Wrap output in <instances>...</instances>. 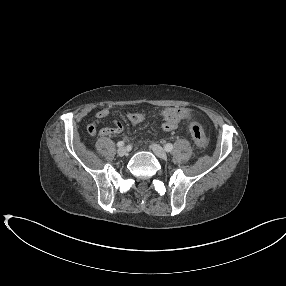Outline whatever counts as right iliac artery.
<instances>
[{"label":"right iliac artery","instance_id":"right-iliac-artery-1","mask_svg":"<svg viewBox=\"0 0 286 286\" xmlns=\"http://www.w3.org/2000/svg\"><path fill=\"white\" fill-rule=\"evenodd\" d=\"M117 146H118V147L124 146V141H119V142L117 143Z\"/></svg>","mask_w":286,"mask_h":286}]
</instances>
